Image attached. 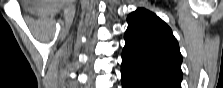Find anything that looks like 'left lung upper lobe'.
<instances>
[{
    "label": "left lung upper lobe",
    "instance_id": "obj_1",
    "mask_svg": "<svg viewBox=\"0 0 223 88\" xmlns=\"http://www.w3.org/2000/svg\"><path fill=\"white\" fill-rule=\"evenodd\" d=\"M127 22L122 65L180 85L182 56L167 24L143 8L131 13Z\"/></svg>",
    "mask_w": 223,
    "mask_h": 88
}]
</instances>
